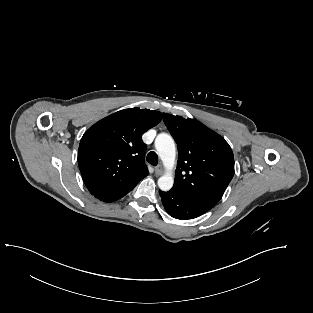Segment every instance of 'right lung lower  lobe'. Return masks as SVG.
<instances>
[{
	"label": "right lung lower lobe",
	"mask_w": 313,
	"mask_h": 313,
	"mask_svg": "<svg viewBox=\"0 0 313 313\" xmlns=\"http://www.w3.org/2000/svg\"><path fill=\"white\" fill-rule=\"evenodd\" d=\"M139 181L127 184L122 187H118L115 189H111L108 191H104L101 193H98L94 195L96 198L104 201V202H114L122 197H124L128 192H130L137 184Z\"/></svg>",
	"instance_id": "1"
}]
</instances>
